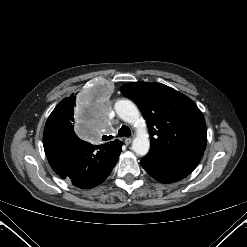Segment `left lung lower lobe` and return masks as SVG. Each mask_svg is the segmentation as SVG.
Instances as JSON below:
<instances>
[{
  "label": "left lung lower lobe",
  "mask_w": 247,
  "mask_h": 247,
  "mask_svg": "<svg viewBox=\"0 0 247 247\" xmlns=\"http://www.w3.org/2000/svg\"><path fill=\"white\" fill-rule=\"evenodd\" d=\"M203 156L202 150L184 149L167 152L151 149L141 160L143 168L162 183L176 182L189 175Z\"/></svg>",
  "instance_id": "0a47b994"
}]
</instances>
